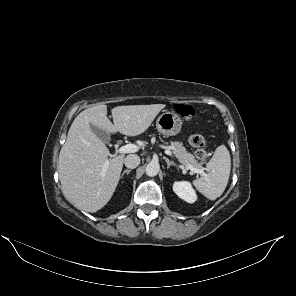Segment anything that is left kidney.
<instances>
[{"label": "left kidney", "instance_id": "5707ae66", "mask_svg": "<svg viewBox=\"0 0 296 296\" xmlns=\"http://www.w3.org/2000/svg\"><path fill=\"white\" fill-rule=\"evenodd\" d=\"M173 191L188 203H194L197 200V195L191 184L187 181H179L173 184Z\"/></svg>", "mask_w": 296, "mask_h": 296}]
</instances>
